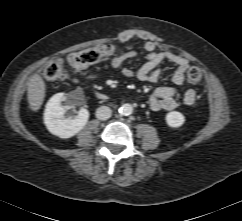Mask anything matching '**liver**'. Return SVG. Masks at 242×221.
Wrapping results in <instances>:
<instances>
[{"label": "liver", "mask_w": 242, "mask_h": 221, "mask_svg": "<svg viewBox=\"0 0 242 221\" xmlns=\"http://www.w3.org/2000/svg\"><path fill=\"white\" fill-rule=\"evenodd\" d=\"M27 93L31 110L38 111L45 98V83L39 74H34L29 80Z\"/></svg>", "instance_id": "6515ba94"}]
</instances>
